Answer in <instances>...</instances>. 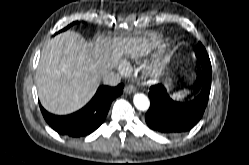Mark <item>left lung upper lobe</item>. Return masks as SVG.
<instances>
[{
	"instance_id": "1",
	"label": "left lung upper lobe",
	"mask_w": 249,
	"mask_h": 165,
	"mask_svg": "<svg viewBox=\"0 0 249 165\" xmlns=\"http://www.w3.org/2000/svg\"><path fill=\"white\" fill-rule=\"evenodd\" d=\"M196 57L201 65L211 66L209 56L201 43H198V46L195 50Z\"/></svg>"
}]
</instances>
